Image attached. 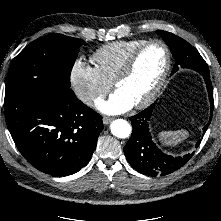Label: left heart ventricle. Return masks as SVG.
Masks as SVG:
<instances>
[{
  "label": "left heart ventricle",
  "mask_w": 221,
  "mask_h": 221,
  "mask_svg": "<svg viewBox=\"0 0 221 221\" xmlns=\"http://www.w3.org/2000/svg\"><path fill=\"white\" fill-rule=\"evenodd\" d=\"M166 62L165 51L158 44L147 47L138 57L131 75L118 85L134 104L146 98L158 83Z\"/></svg>",
  "instance_id": "b2bd125f"
}]
</instances>
